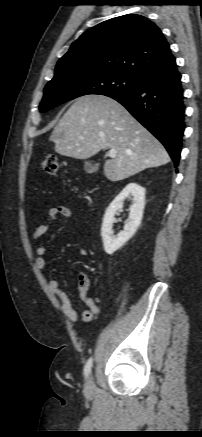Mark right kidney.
Instances as JSON below:
<instances>
[{"label":"right kidney","instance_id":"1","mask_svg":"<svg viewBox=\"0 0 202 437\" xmlns=\"http://www.w3.org/2000/svg\"><path fill=\"white\" fill-rule=\"evenodd\" d=\"M127 198L133 199L129 209V219L124 226V230L117 236H113L112 226L115 220L114 216L122 208L123 202ZM144 206L145 188L137 183H129L111 202L105 212L101 228L104 250L107 254L112 255L133 237L141 224Z\"/></svg>","mask_w":202,"mask_h":437}]
</instances>
